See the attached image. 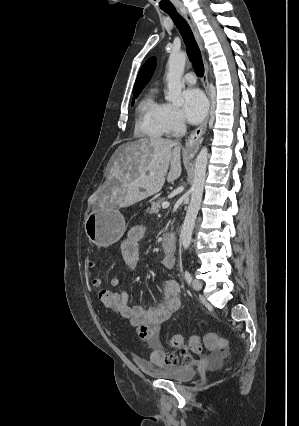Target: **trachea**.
Returning a JSON list of instances; mask_svg holds the SVG:
<instances>
[{"label":"trachea","instance_id":"1","mask_svg":"<svg viewBox=\"0 0 299 426\" xmlns=\"http://www.w3.org/2000/svg\"><path fill=\"white\" fill-rule=\"evenodd\" d=\"M163 11L171 17L174 24L178 28L186 45L189 58L196 68L197 75L199 77H202L204 74V65L202 62L200 49L196 43L190 26L188 25L186 20L176 11L174 7L163 9Z\"/></svg>","mask_w":299,"mask_h":426}]
</instances>
